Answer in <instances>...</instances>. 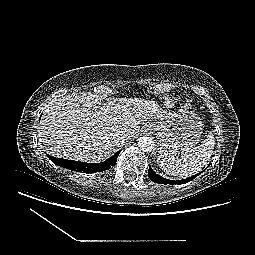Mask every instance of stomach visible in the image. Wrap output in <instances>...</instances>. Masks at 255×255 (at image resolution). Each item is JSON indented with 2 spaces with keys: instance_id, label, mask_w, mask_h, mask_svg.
Segmentation results:
<instances>
[{
  "instance_id": "obj_1",
  "label": "stomach",
  "mask_w": 255,
  "mask_h": 255,
  "mask_svg": "<svg viewBox=\"0 0 255 255\" xmlns=\"http://www.w3.org/2000/svg\"><path fill=\"white\" fill-rule=\"evenodd\" d=\"M145 130L154 132L159 141V152L163 155H176L189 151L199 141L203 124L200 117L192 111L174 113L163 122H150Z\"/></svg>"
}]
</instances>
